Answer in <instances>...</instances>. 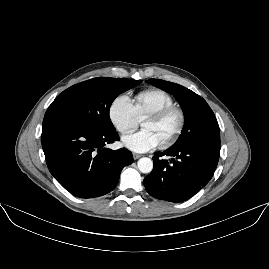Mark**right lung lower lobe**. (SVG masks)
<instances>
[{"mask_svg": "<svg viewBox=\"0 0 269 269\" xmlns=\"http://www.w3.org/2000/svg\"><path fill=\"white\" fill-rule=\"evenodd\" d=\"M117 140L115 131L97 130L64 113H45L41 143L47 166L77 197H99L116 187L121 170L133 161L125 148L114 151L104 147Z\"/></svg>", "mask_w": 269, "mask_h": 269, "instance_id": "obj_1", "label": "right lung lower lobe"}]
</instances>
